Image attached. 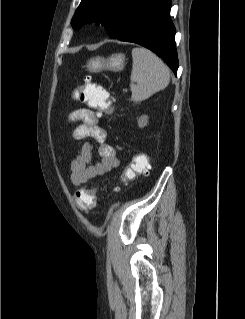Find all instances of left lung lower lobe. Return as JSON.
I'll return each mask as SVG.
<instances>
[{
  "instance_id": "left-lung-lower-lobe-1",
  "label": "left lung lower lobe",
  "mask_w": 245,
  "mask_h": 319,
  "mask_svg": "<svg viewBox=\"0 0 245 319\" xmlns=\"http://www.w3.org/2000/svg\"><path fill=\"white\" fill-rule=\"evenodd\" d=\"M170 8L171 0H144L131 12L114 38L152 50L176 74L178 58Z\"/></svg>"
}]
</instances>
